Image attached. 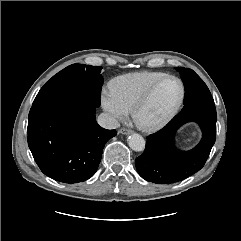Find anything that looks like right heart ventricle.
Listing matches in <instances>:
<instances>
[{
  "mask_svg": "<svg viewBox=\"0 0 241 241\" xmlns=\"http://www.w3.org/2000/svg\"><path fill=\"white\" fill-rule=\"evenodd\" d=\"M165 75L163 72L151 71L128 73L113 79L110 89L119 102L130 111L148 87Z\"/></svg>",
  "mask_w": 241,
  "mask_h": 241,
  "instance_id": "1",
  "label": "right heart ventricle"
}]
</instances>
